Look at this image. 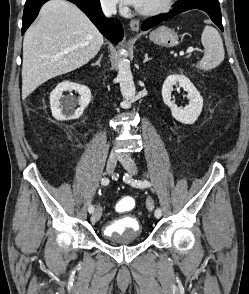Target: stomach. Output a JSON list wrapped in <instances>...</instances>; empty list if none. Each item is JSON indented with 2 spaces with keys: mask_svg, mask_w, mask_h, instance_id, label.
I'll return each instance as SVG.
<instances>
[{
  "mask_svg": "<svg viewBox=\"0 0 249 294\" xmlns=\"http://www.w3.org/2000/svg\"><path fill=\"white\" fill-rule=\"evenodd\" d=\"M150 39L165 47H172L178 43L177 33L166 26H161L153 31L150 34Z\"/></svg>",
  "mask_w": 249,
  "mask_h": 294,
  "instance_id": "1",
  "label": "stomach"
}]
</instances>
